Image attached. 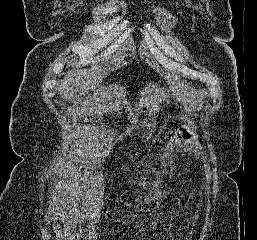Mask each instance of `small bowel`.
Listing matches in <instances>:
<instances>
[{
	"label": "small bowel",
	"mask_w": 257,
	"mask_h": 240,
	"mask_svg": "<svg viewBox=\"0 0 257 240\" xmlns=\"http://www.w3.org/2000/svg\"><path fill=\"white\" fill-rule=\"evenodd\" d=\"M67 218L70 222L77 223L81 220L77 214L76 209H60L52 207L50 210V219L52 222L53 233L56 240H95L96 239V221L92 215H87L84 219L89 221V224L79 231L72 234L68 228L63 227L59 220Z\"/></svg>",
	"instance_id": "obj_1"
}]
</instances>
